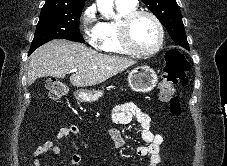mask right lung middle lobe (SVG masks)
<instances>
[{"label":"right lung middle lobe","mask_w":227,"mask_h":166,"mask_svg":"<svg viewBox=\"0 0 227 166\" xmlns=\"http://www.w3.org/2000/svg\"><path fill=\"white\" fill-rule=\"evenodd\" d=\"M82 9H42L30 53L53 39L84 43L79 31Z\"/></svg>","instance_id":"right-lung-middle-lobe-1"}]
</instances>
